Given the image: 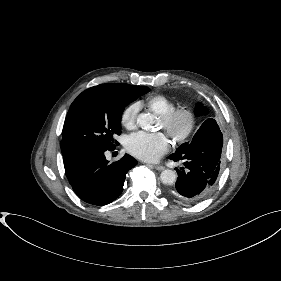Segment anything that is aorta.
Here are the masks:
<instances>
[{"mask_svg": "<svg viewBox=\"0 0 281 281\" xmlns=\"http://www.w3.org/2000/svg\"><path fill=\"white\" fill-rule=\"evenodd\" d=\"M137 124L144 130H148L153 125V119L149 114H140L137 118ZM161 182L166 185H172L177 179V175L173 170L166 169L161 172Z\"/></svg>", "mask_w": 281, "mask_h": 281, "instance_id": "762f6f07", "label": "aorta"}]
</instances>
